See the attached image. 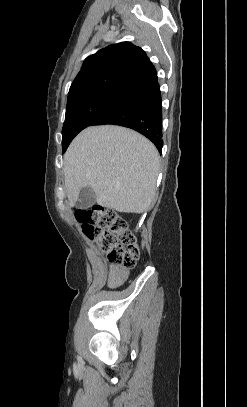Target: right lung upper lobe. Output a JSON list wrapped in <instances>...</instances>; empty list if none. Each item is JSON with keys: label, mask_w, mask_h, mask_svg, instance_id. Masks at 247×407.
<instances>
[{"label": "right lung upper lobe", "mask_w": 247, "mask_h": 407, "mask_svg": "<svg viewBox=\"0 0 247 407\" xmlns=\"http://www.w3.org/2000/svg\"><path fill=\"white\" fill-rule=\"evenodd\" d=\"M157 79L146 53L130 42L110 45L85 59L72 82L68 103L110 87L138 90Z\"/></svg>", "instance_id": "1"}]
</instances>
